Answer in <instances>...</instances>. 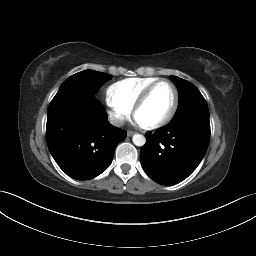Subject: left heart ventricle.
I'll return each mask as SVG.
<instances>
[{"instance_id": "b2bd125f", "label": "left heart ventricle", "mask_w": 256, "mask_h": 256, "mask_svg": "<svg viewBox=\"0 0 256 256\" xmlns=\"http://www.w3.org/2000/svg\"><path fill=\"white\" fill-rule=\"evenodd\" d=\"M174 91L167 83L159 84L150 94L146 103L136 113L142 124H151L162 119L170 110Z\"/></svg>"}]
</instances>
